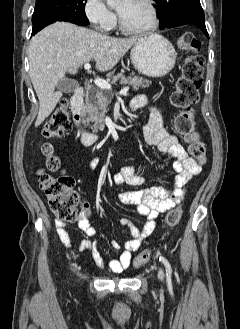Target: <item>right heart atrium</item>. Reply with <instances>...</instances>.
<instances>
[{
	"mask_svg": "<svg viewBox=\"0 0 240 329\" xmlns=\"http://www.w3.org/2000/svg\"><path fill=\"white\" fill-rule=\"evenodd\" d=\"M84 14L92 26L99 32L111 30L117 17L104 0H85Z\"/></svg>",
	"mask_w": 240,
	"mask_h": 329,
	"instance_id": "right-heart-atrium-1",
	"label": "right heart atrium"
}]
</instances>
